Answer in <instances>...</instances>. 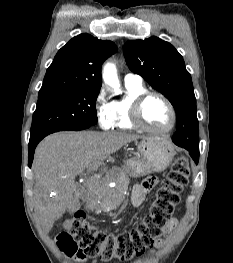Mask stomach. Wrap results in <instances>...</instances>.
<instances>
[{
	"label": "stomach",
	"instance_id": "1",
	"mask_svg": "<svg viewBox=\"0 0 233 263\" xmlns=\"http://www.w3.org/2000/svg\"><path fill=\"white\" fill-rule=\"evenodd\" d=\"M174 154L169 140L160 136H147L137 144L136 156L127 162L126 168L132 177L159 172L167 168Z\"/></svg>",
	"mask_w": 233,
	"mask_h": 263
}]
</instances>
